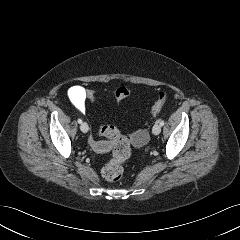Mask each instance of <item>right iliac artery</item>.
I'll return each mask as SVG.
<instances>
[{
    "label": "right iliac artery",
    "mask_w": 240,
    "mask_h": 240,
    "mask_svg": "<svg viewBox=\"0 0 240 240\" xmlns=\"http://www.w3.org/2000/svg\"><path fill=\"white\" fill-rule=\"evenodd\" d=\"M77 121H78V123H79V124H81V123H82V120H81V119H78Z\"/></svg>",
    "instance_id": "82829eb1"
}]
</instances>
